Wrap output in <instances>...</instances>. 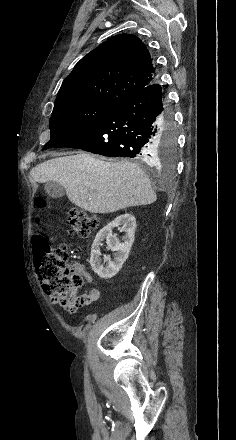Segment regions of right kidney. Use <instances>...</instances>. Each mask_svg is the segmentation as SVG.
<instances>
[{
    "instance_id": "ca27d5eb",
    "label": "right kidney",
    "mask_w": 236,
    "mask_h": 440,
    "mask_svg": "<svg viewBox=\"0 0 236 440\" xmlns=\"http://www.w3.org/2000/svg\"><path fill=\"white\" fill-rule=\"evenodd\" d=\"M125 236L122 238V243L119 242L117 236L112 233V230L116 227H120ZM136 229V219L133 215L125 213L116 217L107 226L102 228L96 235L91 248L90 265L93 271L103 279H110L115 276L122 268L123 263L128 258L132 244L134 242V234ZM106 239L108 248L115 252L114 260L111 261L109 257L104 258L106 266L102 264L100 258V246L102 241Z\"/></svg>"
}]
</instances>
